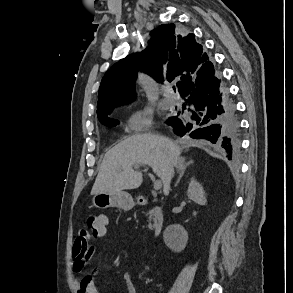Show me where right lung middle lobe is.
Here are the masks:
<instances>
[{
	"instance_id": "obj_1",
	"label": "right lung middle lobe",
	"mask_w": 293,
	"mask_h": 293,
	"mask_svg": "<svg viewBox=\"0 0 293 293\" xmlns=\"http://www.w3.org/2000/svg\"><path fill=\"white\" fill-rule=\"evenodd\" d=\"M108 114H110V113H106L105 115L98 117V118H99V121H100L102 124H104V125H106V126H109V127H110V126H115V125L119 124V121L114 120V119H112V118H109V117H108Z\"/></svg>"
}]
</instances>
